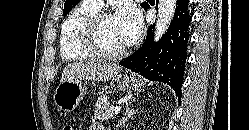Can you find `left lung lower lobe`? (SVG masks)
Masks as SVG:
<instances>
[{
    "label": "left lung lower lobe",
    "mask_w": 249,
    "mask_h": 130,
    "mask_svg": "<svg viewBox=\"0 0 249 130\" xmlns=\"http://www.w3.org/2000/svg\"><path fill=\"white\" fill-rule=\"evenodd\" d=\"M190 22L189 0H177L173 21L162 38L155 43L150 26L143 45L119 64L151 81L167 83L180 101Z\"/></svg>",
    "instance_id": "obj_1"
}]
</instances>
